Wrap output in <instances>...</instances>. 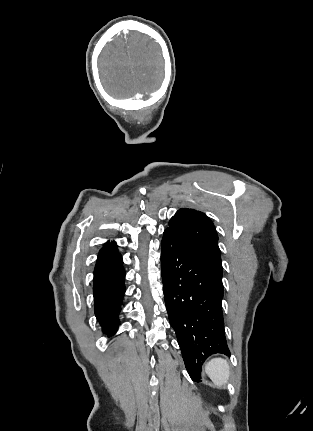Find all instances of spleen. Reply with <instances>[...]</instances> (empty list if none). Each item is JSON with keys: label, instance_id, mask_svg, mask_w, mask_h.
Returning a JSON list of instances; mask_svg holds the SVG:
<instances>
[{"label": "spleen", "instance_id": "spleen-1", "mask_svg": "<svg viewBox=\"0 0 313 431\" xmlns=\"http://www.w3.org/2000/svg\"><path fill=\"white\" fill-rule=\"evenodd\" d=\"M205 372L218 387L226 386L230 376L229 364L223 358H213L207 362Z\"/></svg>", "mask_w": 313, "mask_h": 431}]
</instances>
